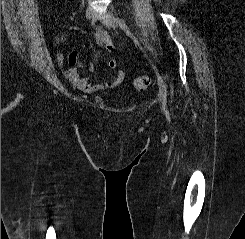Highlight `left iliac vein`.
I'll list each match as a JSON object with an SVG mask.
<instances>
[{"mask_svg": "<svg viewBox=\"0 0 245 239\" xmlns=\"http://www.w3.org/2000/svg\"><path fill=\"white\" fill-rule=\"evenodd\" d=\"M102 23L107 27V28H117L118 27V22L116 18H114L112 15H105L104 17L101 18ZM159 85V95H160V101L163 102V88L162 86L158 83Z\"/></svg>", "mask_w": 245, "mask_h": 239, "instance_id": "4c4485c4", "label": "left iliac vein"}]
</instances>
